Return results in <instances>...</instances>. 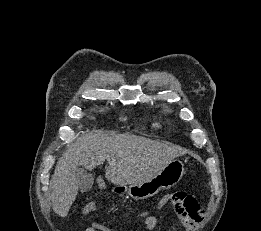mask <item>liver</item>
<instances>
[{
	"instance_id": "obj_1",
	"label": "liver",
	"mask_w": 261,
	"mask_h": 231,
	"mask_svg": "<svg viewBox=\"0 0 261 231\" xmlns=\"http://www.w3.org/2000/svg\"><path fill=\"white\" fill-rule=\"evenodd\" d=\"M184 152L170 144L132 134L112 137L91 131L79 137L59 159L50 182L52 208L66 217L79 190V167L93 170L107 160L106 179L115 185L145 182Z\"/></svg>"
}]
</instances>
